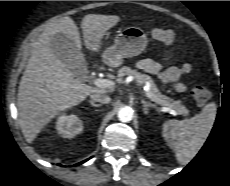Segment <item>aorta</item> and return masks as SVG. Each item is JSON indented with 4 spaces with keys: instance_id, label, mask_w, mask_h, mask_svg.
Wrapping results in <instances>:
<instances>
[{
    "instance_id": "aorta-1",
    "label": "aorta",
    "mask_w": 230,
    "mask_h": 186,
    "mask_svg": "<svg viewBox=\"0 0 230 186\" xmlns=\"http://www.w3.org/2000/svg\"><path fill=\"white\" fill-rule=\"evenodd\" d=\"M118 118L122 122H129L133 118V110L128 106L120 108L118 111Z\"/></svg>"
}]
</instances>
